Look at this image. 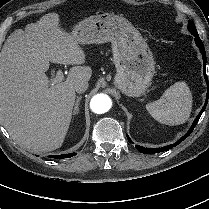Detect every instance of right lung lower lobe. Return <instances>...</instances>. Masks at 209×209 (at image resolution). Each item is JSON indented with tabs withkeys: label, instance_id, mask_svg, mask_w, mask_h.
Wrapping results in <instances>:
<instances>
[{
	"label": "right lung lower lobe",
	"instance_id": "right-lung-lower-lobe-1",
	"mask_svg": "<svg viewBox=\"0 0 209 209\" xmlns=\"http://www.w3.org/2000/svg\"><path fill=\"white\" fill-rule=\"evenodd\" d=\"M76 155V153H70V154H63V155H54L49 156L50 158H56V159H64V158H70L72 156Z\"/></svg>",
	"mask_w": 209,
	"mask_h": 209
}]
</instances>
